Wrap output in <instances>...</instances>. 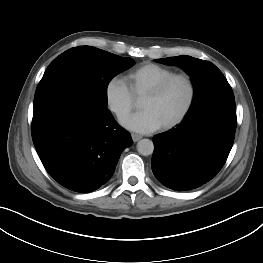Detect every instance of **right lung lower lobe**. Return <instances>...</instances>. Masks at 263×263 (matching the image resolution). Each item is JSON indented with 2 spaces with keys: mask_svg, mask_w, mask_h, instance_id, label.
Listing matches in <instances>:
<instances>
[{
  "mask_svg": "<svg viewBox=\"0 0 263 263\" xmlns=\"http://www.w3.org/2000/svg\"><path fill=\"white\" fill-rule=\"evenodd\" d=\"M32 139L51 177L79 193L105 184L121 153L133 143L109 110H97L74 98L34 107Z\"/></svg>",
  "mask_w": 263,
  "mask_h": 263,
  "instance_id": "obj_1",
  "label": "right lung lower lobe"
}]
</instances>
